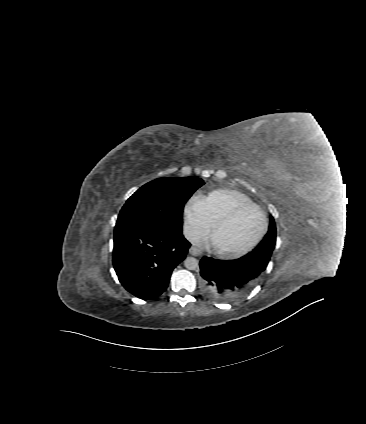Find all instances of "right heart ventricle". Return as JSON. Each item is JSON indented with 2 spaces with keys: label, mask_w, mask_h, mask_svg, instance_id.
<instances>
[{
  "label": "right heart ventricle",
  "mask_w": 366,
  "mask_h": 424,
  "mask_svg": "<svg viewBox=\"0 0 366 424\" xmlns=\"http://www.w3.org/2000/svg\"><path fill=\"white\" fill-rule=\"evenodd\" d=\"M202 199L211 224L240 205L256 204L245 193L231 188L213 190Z\"/></svg>",
  "instance_id": "1"
}]
</instances>
